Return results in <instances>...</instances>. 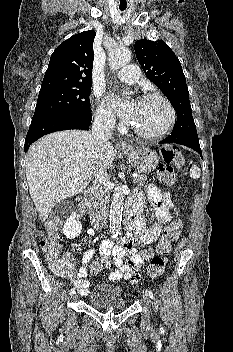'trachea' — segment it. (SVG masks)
Here are the masks:
<instances>
[{
  "instance_id": "trachea-1",
  "label": "trachea",
  "mask_w": 233,
  "mask_h": 352,
  "mask_svg": "<svg viewBox=\"0 0 233 352\" xmlns=\"http://www.w3.org/2000/svg\"><path fill=\"white\" fill-rule=\"evenodd\" d=\"M126 9V7H120L121 11H124Z\"/></svg>"
}]
</instances>
